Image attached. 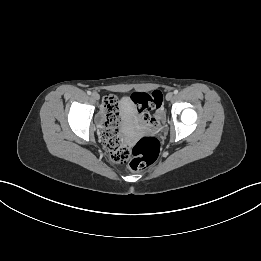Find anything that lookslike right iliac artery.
I'll return each mask as SVG.
<instances>
[{"instance_id": "1", "label": "right iliac artery", "mask_w": 261, "mask_h": 261, "mask_svg": "<svg viewBox=\"0 0 261 261\" xmlns=\"http://www.w3.org/2000/svg\"><path fill=\"white\" fill-rule=\"evenodd\" d=\"M87 94H88V95H91V91H87Z\"/></svg>"}]
</instances>
